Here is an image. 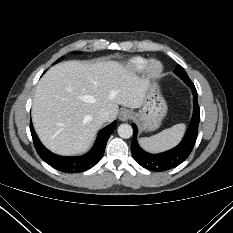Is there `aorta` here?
<instances>
[{
  "label": "aorta",
  "mask_w": 233,
  "mask_h": 233,
  "mask_svg": "<svg viewBox=\"0 0 233 233\" xmlns=\"http://www.w3.org/2000/svg\"><path fill=\"white\" fill-rule=\"evenodd\" d=\"M118 135L121 137V138H124V139H128L130 138L132 135H133V129H132V126L129 125V124H121L119 127H118Z\"/></svg>",
  "instance_id": "aorta-1"
}]
</instances>
